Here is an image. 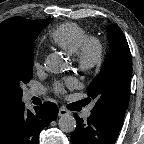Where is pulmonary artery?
Masks as SVG:
<instances>
[{"label":"pulmonary artery","instance_id":"pulmonary-artery-1","mask_svg":"<svg viewBox=\"0 0 144 144\" xmlns=\"http://www.w3.org/2000/svg\"><path fill=\"white\" fill-rule=\"evenodd\" d=\"M42 94V92L41 91H39V90H31L30 92H29V95L30 96H38V95H41ZM93 108V105L92 106H90L85 112H84V117L85 118H88L90 115H91V109Z\"/></svg>","mask_w":144,"mask_h":144}]
</instances>
